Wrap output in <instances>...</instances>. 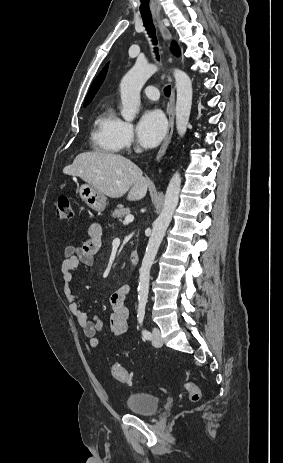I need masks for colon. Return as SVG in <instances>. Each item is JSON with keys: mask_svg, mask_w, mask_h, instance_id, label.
Here are the masks:
<instances>
[{"mask_svg": "<svg viewBox=\"0 0 283 463\" xmlns=\"http://www.w3.org/2000/svg\"><path fill=\"white\" fill-rule=\"evenodd\" d=\"M56 216L59 220L69 221L73 218V209L71 200L68 196H59L57 200ZM111 374L114 379L124 384H132L133 378L130 373L120 365L111 367ZM184 388L188 399L191 402H197L200 399L201 392L199 387L193 382L186 381Z\"/></svg>", "mask_w": 283, "mask_h": 463, "instance_id": "5ec220e1", "label": "colon"}]
</instances>
